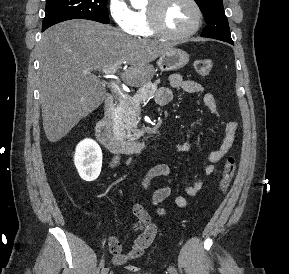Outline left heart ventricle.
Segmentation results:
<instances>
[{"mask_svg": "<svg viewBox=\"0 0 289 274\" xmlns=\"http://www.w3.org/2000/svg\"><path fill=\"white\" fill-rule=\"evenodd\" d=\"M196 21V13L188 0H171L163 14L165 28L173 33L189 30Z\"/></svg>", "mask_w": 289, "mask_h": 274, "instance_id": "b2bd125f", "label": "left heart ventricle"}]
</instances>
